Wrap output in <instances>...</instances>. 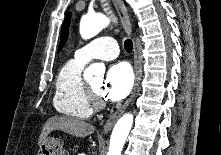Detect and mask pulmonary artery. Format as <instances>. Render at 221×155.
I'll use <instances>...</instances> for the list:
<instances>
[{"label":"pulmonary artery","instance_id":"pulmonary-artery-1","mask_svg":"<svg viewBox=\"0 0 221 155\" xmlns=\"http://www.w3.org/2000/svg\"><path fill=\"white\" fill-rule=\"evenodd\" d=\"M119 54L116 40L109 36L96 38L75 52V58L87 63L92 59L112 60Z\"/></svg>","mask_w":221,"mask_h":155}]
</instances>
